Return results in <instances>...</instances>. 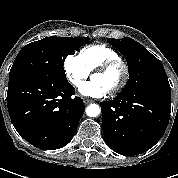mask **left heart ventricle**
I'll use <instances>...</instances> for the list:
<instances>
[{
	"instance_id": "1",
	"label": "left heart ventricle",
	"mask_w": 178,
	"mask_h": 178,
	"mask_svg": "<svg viewBox=\"0 0 178 178\" xmlns=\"http://www.w3.org/2000/svg\"><path fill=\"white\" fill-rule=\"evenodd\" d=\"M123 72L120 67L113 68L105 73L95 74L92 79L100 82L108 92L120 82Z\"/></svg>"
}]
</instances>
